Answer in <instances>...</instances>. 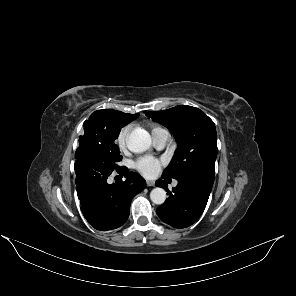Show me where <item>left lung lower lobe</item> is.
Returning <instances> with one entry per match:
<instances>
[{
    "label": "left lung lower lobe",
    "instance_id": "1",
    "mask_svg": "<svg viewBox=\"0 0 296 296\" xmlns=\"http://www.w3.org/2000/svg\"><path fill=\"white\" fill-rule=\"evenodd\" d=\"M164 178V177H163ZM178 185L170 192L165 181H156V186L164 188L169 198L157 208L160 219L175 227L192 225L204 211L212 186L214 174L196 172L177 178Z\"/></svg>",
    "mask_w": 296,
    "mask_h": 296
}]
</instances>
